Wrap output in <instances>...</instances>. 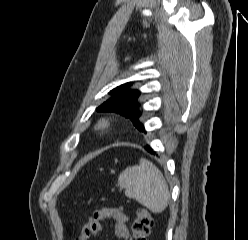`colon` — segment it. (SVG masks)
<instances>
[{"instance_id":"1","label":"colon","mask_w":248,"mask_h":240,"mask_svg":"<svg viewBox=\"0 0 248 240\" xmlns=\"http://www.w3.org/2000/svg\"><path fill=\"white\" fill-rule=\"evenodd\" d=\"M153 225L150 213L143 208H139L131 226L130 240H147Z\"/></svg>"}]
</instances>
